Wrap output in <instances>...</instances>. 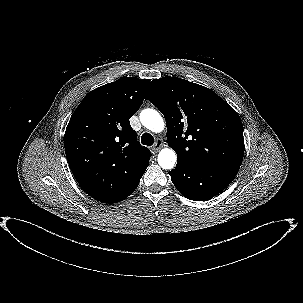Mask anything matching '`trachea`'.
Here are the masks:
<instances>
[{
  "label": "trachea",
  "instance_id": "3493384b",
  "mask_svg": "<svg viewBox=\"0 0 303 303\" xmlns=\"http://www.w3.org/2000/svg\"><path fill=\"white\" fill-rule=\"evenodd\" d=\"M141 143L143 145L151 146L154 143V137L149 133H144L141 137Z\"/></svg>",
  "mask_w": 303,
  "mask_h": 303
}]
</instances>
